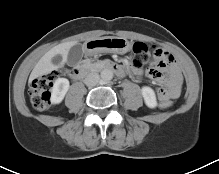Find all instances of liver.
I'll use <instances>...</instances> for the list:
<instances>
[{"label": "liver", "instance_id": "obj_1", "mask_svg": "<svg viewBox=\"0 0 219 174\" xmlns=\"http://www.w3.org/2000/svg\"><path fill=\"white\" fill-rule=\"evenodd\" d=\"M75 44H77L76 41L62 43V44H59V45L53 47L47 53H45L40 58L38 63L35 65L34 69L32 70L30 77H29V81H32L33 79H35L39 76L50 73L53 70H56V69L62 67L65 64V62L67 61V56H68V52H69L70 48L72 46H74ZM56 55L62 56V62L60 65H55L52 63V59Z\"/></svg>", "mask_w": 219, "mask_h": 174}]
</instances>
